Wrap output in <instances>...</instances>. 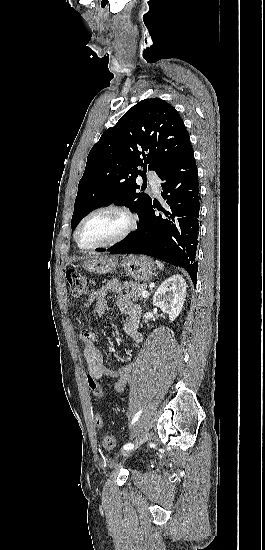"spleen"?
<instances>
[{
  "label": "spleen",
  "instance_id": "3e777b00",
  "mask_svg": "<svg viewBox=\"0 0 265 550\" xmlns=\"http://www.w3.org/2000/svg\"><path fill=\"white\" fill-rule=\"evenodd\" d=\"M156 263H157V266L159 267V269L163 270L164 264L159 260H156Z\"/></svg>",
  "mask_w": 265,
  "mask_h": 550
}]
</instances>
